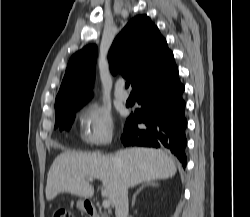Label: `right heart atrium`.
I'll use <instances>...</instances> for the list:
<instances>
[{"label":"right heart atrium","mask_w":250,"mask_h":217,"mask_svg":"<svg viewBox=\"0 0 250 217\" xmlns=\"http://www.w3.org/2000/svg\"><path fill=\"white\" fill-rule=\"evenodd\" d=\"M81 140L89 146H104L113 137V120L105 108L97 104L82 107L77 114Z\"/></svg>","instance_id":"obj_1"}]
</instances>
